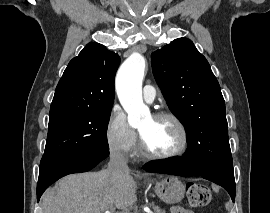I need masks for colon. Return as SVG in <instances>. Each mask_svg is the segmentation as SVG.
Listing matches in <instances>:
<instances>
[{"label":"colon","mask_w":270,"mask_h":213,"mask_svg":"<svg viewBox=\"0 0 270 213\" xmlns=\"http://www.w3.org/2000/svg\"><path fill=\"white\" fill-rule=\"evenodd\" d=\"M186 195L190 205L197 208L207 206L211 201L209 188L199 183H187Z\"/></svg>","instance_id":"5ec220e1"}]
</instances>
